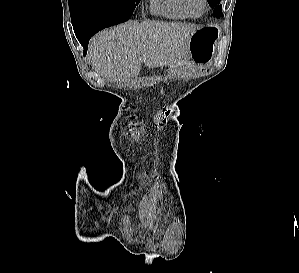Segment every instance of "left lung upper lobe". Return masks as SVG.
<instances>
[{"label": "left lung upper lobe", "mask_w": 299, "mask_h": 273, "mask_svg": "<svg viewBox=\"0 0 299 273\" xmlns=\"http://www.w3.org/2000/svg\"><path fill=\"white\" fill-rule=\"evenodd\" d=\"M211 8H213V13L216 17L223 16L222 6L220 5L221 0H207Z\"/></svg>", "instance_id": "left-lung-upper-lobe-1"}]
</instances>
